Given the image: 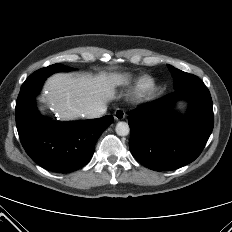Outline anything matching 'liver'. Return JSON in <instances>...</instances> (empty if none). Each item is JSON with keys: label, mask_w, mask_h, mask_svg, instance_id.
<instances>
[{"label": "liver", "mask_w": 232, "mask_h": 232, "mask_svg": "<svg viewBox=\"0 0 232 232\" xmlns=\"http://www.w3.org/2000/svg\"><path fill=\"white\" fill-rule=\"evenodd\" d=\"M122 82L121 76L115 73L95 77L57 73L47 82L46 100L61 120H74L106 105L114 97L115 86Z\"/></svg>", "instance_id": "6515ba94"}]
</instances>
